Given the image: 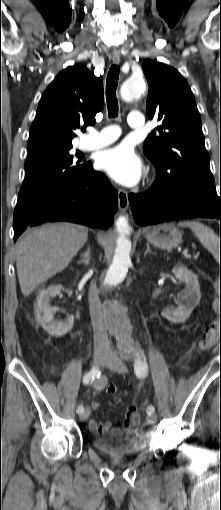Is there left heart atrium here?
<instances>
[{
  "label": "left heart atrium",
  "mask_w": 221,
  "mask_h": 510,
  "mask_svg": "<svg viewBox=\"0 0 221 510\" xmlns=\"http://www.w3.org/2000/svg\"><path fill=\"white\" fill-rule=\"evenodd\" d=\"M97 165L116 182L126 186L134 185L141 176V161L132 148L125 144L101 152Z\"/></svg>",
  "instance_id": "39dd6f15"
}]
</instances>
